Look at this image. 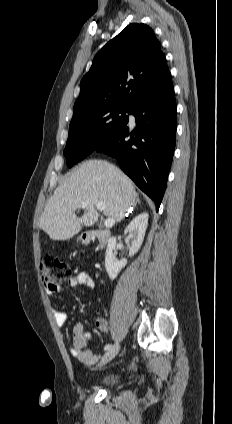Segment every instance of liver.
Returning <instances> with one entry per match:
<instances>
[{
  "mask_svg": "<svg viewBox=\"0 0 232 424\" xmlns=\"http://www.w3.org/2000/svg\"><path fill=\"white\" fill-rule=\"evenodd\" d=\"M137 193L131 179L119 168L103 160L83 162L56 188L45 205L39 226L52 240H68L83 226L98 221L96 203H105L104 215L119 222L133 207ZM86 203L82 217L76 209Z\"/></svg>",
  "mask_w": 232,
  "mask_h": 424,
  "instance_id": "1",
  "label": "liver"
}]
</instances>
